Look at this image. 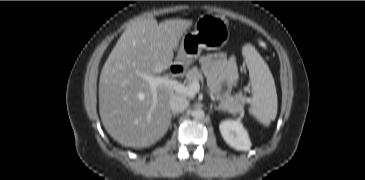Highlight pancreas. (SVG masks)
Returning <instances> with one entry per match:
<instances>
[{
    "label": "pancreas",
    "mask_w": 365,
    "mask_h": 180,
    "mask_svg": "<svg viewBox=\"0 0 365 180\" xmlns=\"http://www.w3.org/2000/svg\"><path fill=\"white\" fill-rule=\"evenodd\" d=\"M194 80L203 82V74L198 67H193L186 74V83L188 85H190ZM242 98H243L242 96L219 97L218 99L220 101V108L227 110L231 113L239 112L245 104V101H242Z\"/></svg>",
    "instance_id": "1"
}]
</instances>
